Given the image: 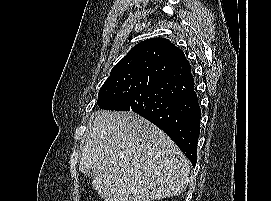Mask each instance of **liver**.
I'll return each mask as SVG.
<instances>
[{"mask_svg":"<svg viewBox=\"0 0 271 201\" xmlns=\"http://www.w3.org/2000/svg\"><path fill=\"white\" fill-rule=\"evenodd\" d=\"M79 170H92L104 201H153L180 195L189 161L158 127L133 112L97 111L83 139Z\"/></svg>","mask_w":271,"mask_h":201,"instance_id":"6515ba94","label":"liver"}]
</instances>
